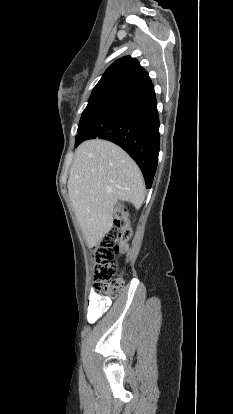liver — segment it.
Returning a JSON list of instances; mask_svg holds the SVG:
<instances>
[{
  "label": "liver",
  "mask_w": 233,
  "mask_h": 414,
  "mask_svg": "<svg viewBox=\"0 0 233 414\" xmlns=\"http://www.w3.org/2000/svg\"><path fill=\"white\" fill-rule=\"evenodd\" d=\"M67 187L83 236L94 246L113 228V209L119 200L137 209L145 199L136 163L119 146L101 139L78 146Z\"/></svg>",
  "instance_id": "6515ba94"
}]
</instances>
